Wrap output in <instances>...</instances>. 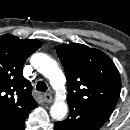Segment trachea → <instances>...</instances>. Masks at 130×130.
Listing matches in <instances>:
<instances>
[{"label": "trachea", "instance_id": "1", "mask_svg": "<svg viewBox=\"0 0 130 130\" xmlns=\"http://www.w3.org/2000/svg\"><path fill=\"white\" fill-rule=\"evenodd\" d=\"M36 89H37V91H39V92H46V90H47V85H46L45 82L39 81V82L37 83V85H36Z\"/></svg>", "mask_w": 130, "mask_h": 130}]
</instances>
